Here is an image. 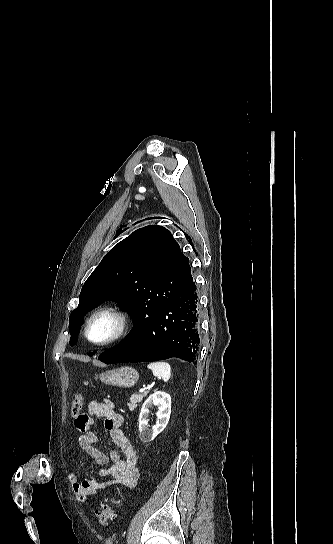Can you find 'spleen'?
Listing matches in <instances>:
<instances>
[{"label": "spleen", "instance_id": "3e777b00", "mask_svg": "<svg viewBox=\"0 0 333 544\" xmlns=\"http://www.w3.org/2000/svg\"><path fill=\"white\" fill-rule=\"evenodd\" d=\"M147 367L154 376L162 378L164 382H167L171 377V366L167 362H152Z\"/></svg>", "mask_w": 333, "mask_h": 544}]
</instances>
